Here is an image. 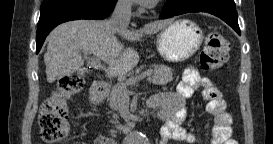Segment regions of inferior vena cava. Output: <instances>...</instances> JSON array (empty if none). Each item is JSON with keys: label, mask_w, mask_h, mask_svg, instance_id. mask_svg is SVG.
Listing matches in <instances>:
<instances>
[{"label": "inferior vena cava", "mask_w": 273, "mask_h": 144, "mask_svg": "<svg viewBox=\"0 0 273 144\" xmlns=\"http://www.w3.org/2000/svg\"><path fill=\"white\" fill-rule=\"evenodd\" d=\"M132 0H118L110 24L114 30L128 27L131 19Z\"/></svg>", "instance_id": "1"}]
</instances>
